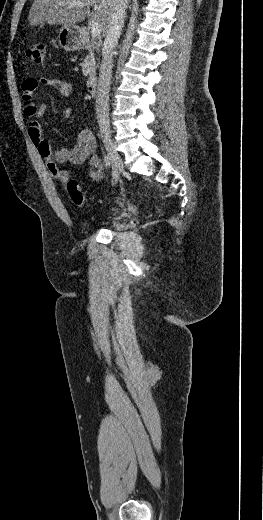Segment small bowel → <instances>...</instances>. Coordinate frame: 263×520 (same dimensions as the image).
<instances>
[{
	"label": "small bowel",
	"instance_id": "c3829d8e",
	"mask_svg": "<svg viewBox=\"0 0 263 520\" xmlns=\"http://www.w3.org/2000/svg\"><path fill=\"white\" fill-rule=\"evenodd\" d=\"M41 85L54 87L66 96L72 93L73 88L71 83L60 79L28 78L22 83L23 110L30 119L28 134L39 155L45 161L47 169L58 181L66 183L70 175L67 171L60 169L58 164L71 163L79 165L88 161L91 170V180L93 182L99 181L103 176L104 167L101 159L94 155L97 142L91 130H82L72 147H63L56 151L51 150L48 141L43 136L42 128L38 121L44 115L46 107L44 104H37L34 99V94Z\"/></svg>",
	"mask_w": 263,
	"mask_h": 520
}]
</instances>
